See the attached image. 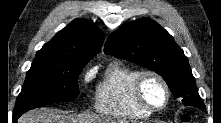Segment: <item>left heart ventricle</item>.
<instances>
[{"label":"left heart ventricle","instance_id":"left-heart-ventricle-1","mask_svg":"<svg viewBox=\"0 0 221 123\" xmlns=\"http://www.w3.org/2000/svg\"><path fill=\"white\" fill-rule=\"evenodd\" d=\"M143 95L146 101L154 106L160 107L165 102V91L162 85L154 78L148 77L143 83Z\"/></svg>","mask_w":221,"mask_h":123}]
</instances>
